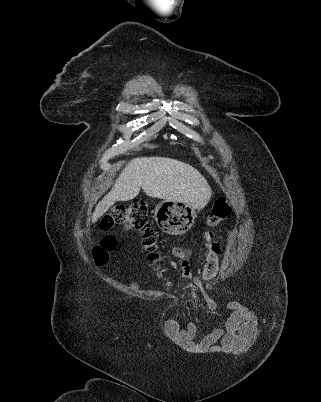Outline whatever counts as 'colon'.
Returning <instances> with one entry per match:
<instances>
[{"label": "colon", "mask_w": 321, "mask_h": 402, "mask_svg": "<svg viewBox=\"0 0 321 402\" xmlns=\"http://www.w3.org/2000/svg\"><path fill=\"white\" fill-rule=\"evenodd\" d=\"M231 211L230 203L225 198H218L212 205L208 216L209 229L214 228L220 222L225 220ZM119 225L129 230L139 231L144 245L150 252V260L158 261V255L155 253L156 238L155 232L148 219L147 206L142 201H136L129 205L119 206L112 213L103 219L102 226L104 230H109L113 226ZM117 240L114 236H105L99 245L93 249V257L97 264H104L108 260L109 254L114 251ZM205 259L202 271V277L199 280L206 284L208 280L214 278L220 266L221 246L212 231L205 233L204 240ZM206 290V289H205Z\"/></svg>", "instance_id": "1"}]
</instances>
